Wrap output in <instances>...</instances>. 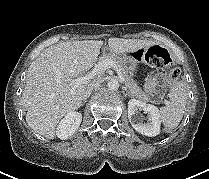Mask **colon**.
I'll list each match as a JSON object with an SVG mask.
<instances>
[{"mask_svg": "<svg viewBox=\"0 0 209 179\" xmlns=\"http://www.w3.org/2000/svg\"><path fill=\"white\" fill-rule=\"evenodd\" d=\"M132 57L149 66L163 68L170 64L171 59L168 51L160 46H151L148 48H140L132 53ZM180 76L178 67L171 68L168 77V83H175Z\"/></svg>", "mask_w": 209, "mask_h": 179, "instance_id": "colon-1", "label": "colon"}]
</instances>
